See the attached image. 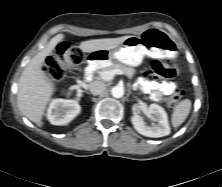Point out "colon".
<instances>
[{"instance_id": "colon-1", "label": "colon", "mask_w": 222, "mask_h": 187, "mask_svg": "<svg viewBox=\"0 0 222 187\" xmlns=\"http://www.w3.org/2000/svg\"><path fill=\"white\" fill-rule=\"evenodd\" d=\"M83 62V54L80 50L62 43L46 59L45 71L49 77L55 81L62 80L70 71L77 69ZM178 74L177 68L164 60H153L149 69L145 72L147 78H173ZM183 91L174 92L170 99L169 105L175 106L183 98Z\"/></svg>"}]
</instances>
